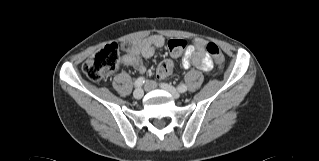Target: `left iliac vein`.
Listing matches in <instances>:
<instances>
[{"label":"left iliac vein","instance_id":"1","mask_svg":"<svg viewBox=\"0 0 319 161\" xmlns=\"http://www.w3.org/2000/svg\"><path fill=\"white\" fill-rule=\"evenodd\" d=\"M160 87H161L163 90L169 92L174 98L177 99V98L180 97V92H179L177 89H175L174 87H172L171 85H169V84H167V83H161V84H160Z\"/></svg>","mask_w":319,"mask_h":161}]
</instances>
